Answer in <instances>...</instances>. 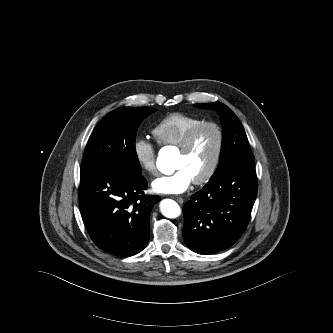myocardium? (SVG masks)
Returning a JSON list of instances; mask_svg holds the SVG:
<instances>
[{"mask_svg":"<svg viewBox=\"0 0 333 333\" xmlns=\"http://www.w3.org/2000/svg\"><path fill=\"white\" fill-rule=\"evenodd\" d=\"M213 128L217 135V143H216V149L213 156V159L208 167V169L205 171V173L194 179L193 183L196 185H201L206 182H208L215 172L217 171V168L219 166L223 145H224V134L222 128L215 122L212 121H204L200 123L199 125L195 126L186 136L183 143L179 146V151L183 154L189 153L194 145V142L198 136V134L205 128Z\"/></svg>","mask_w":333,"mask_h":333,"instance_id":"myocardium-1","label":"myocardium"}]
</instances>
